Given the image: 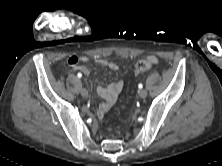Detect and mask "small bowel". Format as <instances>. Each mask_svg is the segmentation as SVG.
I'll list each match as a JSON object with an SVG mask.
<instances>
[{
	"mask_svg": "<svg viewBox=\"0 0 222 166\" xmlns=\"http://www.w3.org/2000/svg\"><path fill=\"white\" fill-rule=\"evenodd\" d=\"M149 59L155 63L157 59L153 56H150ZM88 60L85 56H71L68 58L67 63L70 67L80 70L84 75L88 76L90 71L87 67L81 66V62H86ZM96 62L102 66H106L113 71L119 69L118 64L106 59L99 58ZM124 87V82L122 80L117 81L116 83L110 84L107 87L97 86L96 93L98 96L104 99V102L98 107L97 115L103 117L104 114L113 106L116 102L118 95L121 93Z\"/></svg>",
	"mask_w": 222,
	"mask_h": 166,
	"instance_id": "1",
	"label": "small bowel"
}]
</instances>
